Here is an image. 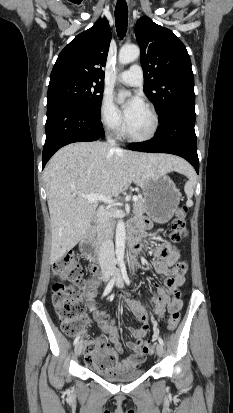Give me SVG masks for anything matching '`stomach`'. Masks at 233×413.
<instances>
[{"mask_svg":"<svg viewBox=\"0 0 233 413\" xmlns=\"http://www.w3.org/2000/svg\"><path fill=\"white\" fill-rule=\"evenodd\" d=\"M146 212L155 222L164 224L175 214L181 194L174 182L166 175L157 173L141 184Z\"/></svg>","mask_w":233,"mask_h":413,"instance_id":"1","label":"stomach"}]
</instances>
